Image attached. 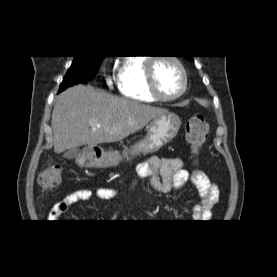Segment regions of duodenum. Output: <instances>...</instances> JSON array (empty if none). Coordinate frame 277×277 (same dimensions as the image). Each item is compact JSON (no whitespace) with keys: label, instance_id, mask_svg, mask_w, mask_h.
<instances>
[{"label":"duodenum","instance_id":"duodenum-1","mask_svg":"<svg viewBox=\"0 0 277 277\" xmlns=\"http://www.w3.org/2000/svg\"><path fill=\"white\" fill-rule=\"evenodd\" d=\"M95 155H96L97 158H99V156H100L99 153H96Z\"/></svg>","mask_w":277,"mask_h":277}]
</instances>
